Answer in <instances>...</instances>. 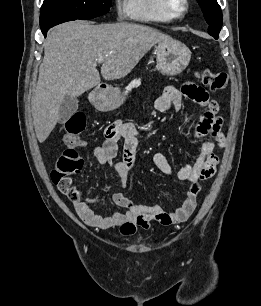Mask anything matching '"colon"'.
I'll list each match as a JSON object with an SVG mask.
<instances>
[{"mask_svg": "<svg viewBox=\"0 0 261 306\" xmlns=\"http://www.w3.org/2000/svg\"><path fill=\"white\" fill-rule=\"evenodd\" d=\"M201 82L213 91L227 87L228 76L222 72L204 69L198 73ZM86 128V117L83 112L73 113L65 122V149L60 155L55 168L51 171V179L60 191L67 194L73 202H84L79 190L72 186L71 175L81 171L83 160L76 151L80 135Z\"/></svg>", "mask_w": 261, "mask_h": 306, "instance_id": "5ec220e1", "label": "colon"}]
</instances>
